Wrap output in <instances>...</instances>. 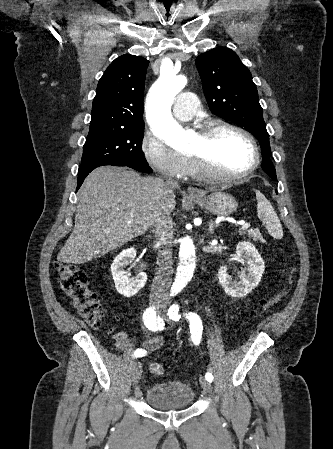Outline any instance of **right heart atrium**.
<instances>
[{
    "label": "right heart atrium",
    "instance_id": "right-heart-atrium-1",
    "mask_svg": "<svg viewBox=\"0 0 333 449\" xmlns=\"http://www.w3.org/2000/svg\"><path fill=\"white\" fill-rule=\"evenodd\" d=\"M141 151L146 162L158 173L180 178L186 173L188 158L148 131L141 141Z\"/></svg>",
    "mask_w": 333,
    "mask_h": 449
}]
</instances>
